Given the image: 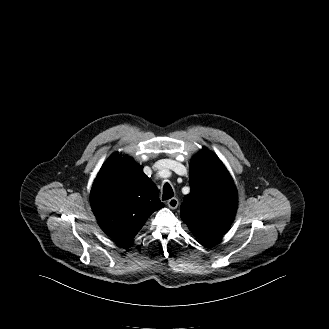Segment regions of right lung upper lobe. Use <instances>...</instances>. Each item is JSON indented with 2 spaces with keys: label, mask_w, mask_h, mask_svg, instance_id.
<instances>
[{
  "label": "right lung upper lobe",
  "mask_w": 329,
  "mask_h": 329,
  "mask_svg": "<svg viewBox=\"0 0 329 329\" xmlns=\"http://www.w3.org/2000/svg\"><path fill=\"white\" fill-rule=\"evenodd\" d=\"M90 201L100 227L118 244H128L147 218L164 207L157 187L142 167L118 153L100 169Z\"/></svg>",
  "instance_id": "obj_1"
}]
</instances>
